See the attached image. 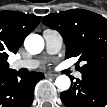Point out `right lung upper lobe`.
I'll use <instances>...</instances> for the list:
<instances>
[{"instance_id": "cb5924a9", "label": "right lung upper lobe", "mask_w": 107, "mask_h": 107, "mask_svg": "<svg viewBox=\"0 0 107 107\" xmlns=\"http://www.w3.org/2000/svg\"><path fill=\"white\" fill-rule=\"evenodd\" d=\"M40 16L14 11L0 12V72L9 70L8 53H16L25 37L39 24Z\"/></svg>"}]
</instances>
